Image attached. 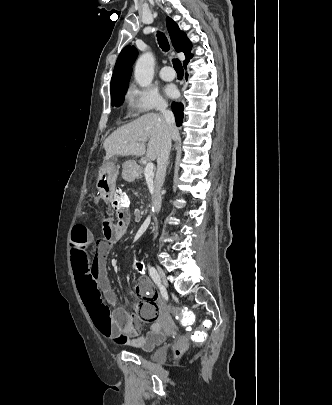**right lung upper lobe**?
<instances>
[{"mask_svg": "<svg viewBox=\"0 0 332 405\" xmlns=\"http://www.w3.org/2000/svg\"><path fill=\"white\" fill-rule=\"evenodd\" d=\"M167 29L170 33L172 44L177 52H183L186 56L184 64L192 58L190 54L192 44L186 34L181 31L178 25L169 17L166 18ZM138 51L134 46H126L120 53L113 72L111 88L120 83L130 80L132 73V64L137 57Z\"/></svg>", "mask_w": 332, "mask_h": 405, "instance_id": "right-lung-upper-lobe-1", "label": "right lung upper lobe"}]
</instances>
